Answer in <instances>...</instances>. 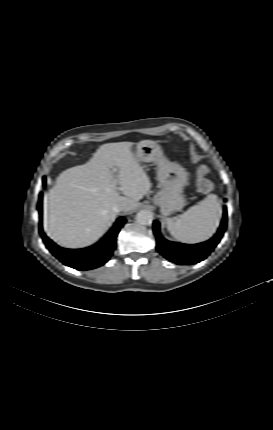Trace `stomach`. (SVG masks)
Instances as JSON below:
<instances>
[{"mask_svg":"<svg viewBox=\"0 0 273 430\" xmlns=\"http://www.w3.org/2000/svg\"><path fill=\"white\" fill-rule=\"evenodd\" d=\"M134 156L138 163L154 162L158 167L157 180L160 190L154 195L153 202L160 207L161 213L167 216L181 210L185 205L183 189L188 180L185 169L180 164L167 160L161 146L152 140L137 143Z\"/></svg>","mask_w":273,"mask_h":430,"instance_id":"0dacf381","label":"stomach"}]
</instances>
